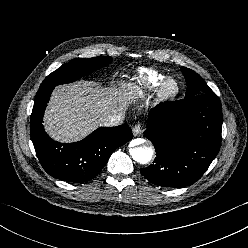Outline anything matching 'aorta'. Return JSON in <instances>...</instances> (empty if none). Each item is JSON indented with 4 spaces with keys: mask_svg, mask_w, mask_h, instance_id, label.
I'll use <instances>...</instances> for the list:
<instances>
[{
    "mask_svg": "<svg viewBox=\"0 0 248 248\" xmlns=\"http://www.w3.org/2000/svg\"><path fill=\"white\" fill-rule=\"evenodd\" d=\"M134 142L135 144H142V145L129 149V153L132 156V158L140 164L149 163L153 157L152 147L150 145L144 144L145 140L137 139Z\"/></svg>",
    "mask_w": 248,
    "mask_h": 248,
    "instance_id": "aorta-1",
    "label": "aorta"
}]
</instances>
